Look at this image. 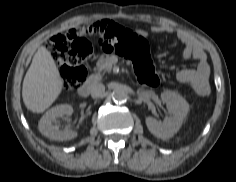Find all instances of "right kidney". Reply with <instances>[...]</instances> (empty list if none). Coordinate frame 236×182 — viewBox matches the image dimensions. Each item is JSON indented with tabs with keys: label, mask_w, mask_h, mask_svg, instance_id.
Returning a JSON list of instances; mask_svg holds the SVG:
<instances>
[{
	"label": "right kidney",
	"mask_w": 236,
	"mask_h": 182,
	"mask_svg": "<svg viewBox=\"0 0 236 182\" xmlns=\"http://www.w3.org/2000/svg\"><path fill=\"white\" fill-rule=\"evenodd\" d=\"M73 113V108L71 105L62 104L57 105L50 110H48L39 121V131L45 137L56 140V141H66L72 140L77 137V132L71 129L65 128L60 129L58 125H54L58 117L64 115L70 116Z\"/></svg>",
	"instance_id": "right-kidney-1"
}]
</instances>
